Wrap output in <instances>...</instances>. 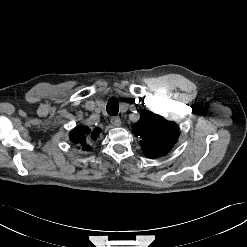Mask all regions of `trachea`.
<instances>
[{
  "label": "trachea",
  "mask_w": 247,
  "mask_h": 247,
  "mask_svg": "<svg viewBox=\"0 0 247 247\" xmlns=\"http://www.w3.org/2000/svg\"><path fill=\"white\" fill-rule=\"evenodd\" d=\"M106 110L109 115H117L119 111L118 100L112 97L107 103Z\"/></svg>",
  "instance_id": "trachea-1"
}]
</instances>
